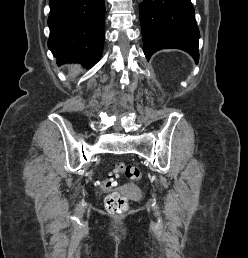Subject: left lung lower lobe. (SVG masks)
<instances>
[{"label":"left lung lower lobe","instance_id":"left-lung-lower-lobe-1","mask_svg":"<svg viewBox=\"0 0 248 258\" xmlns=\"http://www.w3.org/2000/svg\"><path fill=\"white\" fill-rule=\"evenodd\" d=\"M144 54L181 49L199 60V30L190 0H144L139 7Z\"/></svg>","mask_w":248,"mask_h":258}]
</instances>
